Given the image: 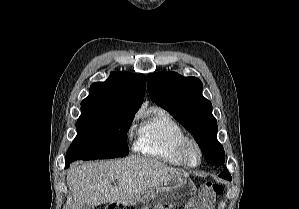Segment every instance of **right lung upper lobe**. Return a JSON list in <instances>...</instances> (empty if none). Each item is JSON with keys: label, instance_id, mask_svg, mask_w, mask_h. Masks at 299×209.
Here are the masks:
<instances>
[{"label": "right lung upper lobe", "instance_id": "1", "mask_svg": "<svg viewBox=\"0 0 299 209\" xmlns=\"http://www.w3.org/2000/svg\"><path fill=\"white\" fill-rule=\"evenodd\" d=\"M145 86L143 74L112 72L105 82L91 85L81 110L137 112L144 100Z\"/></svg>", "mask_w": 299, "mask_h": 209}]
</instances>
